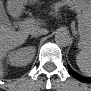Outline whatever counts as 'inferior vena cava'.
I'll list each match as a JSON object with an SVG mask.
<instances>
[{
    "instance_id": "obj_1",
    "label": "inferior vena cava",
    "mask_w": 91,
    "mask_h": 91,
    "mask_svg": "<svg viewBox=\"0 0 91 91\" xmlns=\"http://www.w3.org/2000/svg\"><path fill=\"white\" fill-rule=\"evenodd\" d=\"M45 33H47L46 29L37 28V27L32 29V32H31V34L34 35V36H38V35L45 34Z\"/></svg>"
}]
</instances>
